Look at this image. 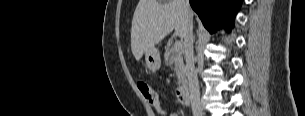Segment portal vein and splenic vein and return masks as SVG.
I'll return each instance as SVG.
<instances>
[{"mask_svg": "<svg viewBox=\"0 0 305 116\" xmlns=\"http://www.w3.org/2000/svg\"><path fill=\"white\" fill-rule=\"evenodd\" d=\"M174 48H175V49H181V48H182V43L179 42V41H176V42L174 43Z\"/></svg>", "mask_w": 305, "mask_h": 116, "instance_id": "18ae733b", "label": "portal vein and splenic vein"}]
</instances>
